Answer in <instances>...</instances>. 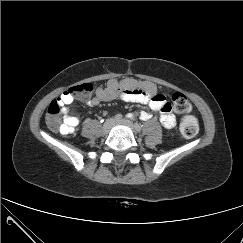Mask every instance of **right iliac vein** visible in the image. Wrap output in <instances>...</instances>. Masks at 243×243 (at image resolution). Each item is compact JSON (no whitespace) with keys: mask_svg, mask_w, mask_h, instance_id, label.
Segmentation results:
<instances>
[{"mask_svg":"<svg viewBox=\"0 0 243 243\" xmlns=\"http://www.w3.org/2000/svg\"><path fill=\"white\" fill-rule=\"evenodd\" d=\"M114 124H115V119L110 118L106 120V122L103 125V133L107 134Z\"/></svg>","mask_w":243,"mask_h":243,"instance_id":"right-iliac-vein-1","label":"right iliac vein"}]
</instances>
